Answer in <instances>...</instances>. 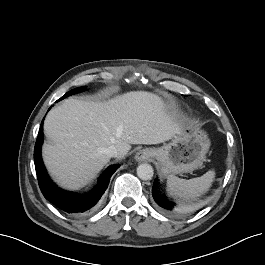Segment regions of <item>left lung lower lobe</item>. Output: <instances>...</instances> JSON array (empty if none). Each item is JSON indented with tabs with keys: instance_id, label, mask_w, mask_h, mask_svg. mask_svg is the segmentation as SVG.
Returning a JSON list of instances; mask_svg holds the SVG:
<instances>
[{
	"instance_id": "1",
	"label": "left lung lower lobe",
	"mask_w": 265,
	"mask_h": 265,
	"mask_svg": "<svg viewBox=\"0 0 265 265\" xmlns=\"http://www.w3.org/2000/svg\"><path fill=\"white\" fill-rule=\"evenodd\" d=\"M152 195L154 198V201L156 202V204L159 206V209L166 213V214H176L178 213V208L176 206V203L167 198L164 195H161L158 191V180L156 179L154 184H153V188H152Z\"/></svg>"
}]
</instances>
